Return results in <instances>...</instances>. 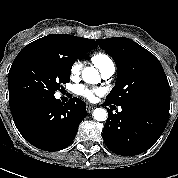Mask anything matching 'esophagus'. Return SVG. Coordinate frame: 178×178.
Wrapping results in <instances>:
<instances>
[{
	"instance_id": "esophagus-1",
	"label": "esophagus",
	"mask_w": 178,
	"mask_h": 178,
	"mask_svg": "<svg viewBox=\"0 0 178 178\" xmlns=\"http://www.w3.org/2000/svg\"><path fill=\"white\" fill-rule=\"evenodd\" d=\"M86 108H87V112L91 113L93 109L95 108V105L87 103Z\"/></svg>"
}]
</instances>
